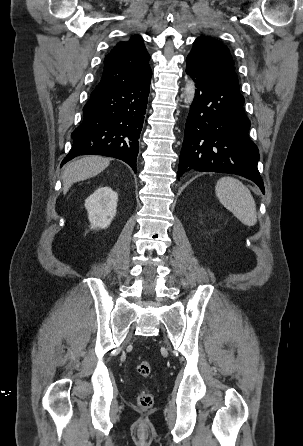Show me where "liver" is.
Instances as JSON below:
<instances>
[{
    "label": "liver",
    "instance_id": "1",
    "mask_svg": "<svg viewBox=\"0 0 303 446\" xmlns=\"http://www.w3.org/2000/svg\"><path fill=\"white\" fill-rule=\"evenodd\" d=\"M109 164L110 160L101 156H86L67 164L62 176L63 193L66 194L74 183L96 176Z\"/></svg>",
    "mask_w": 303,
    "mask_h": 446
}]
</instances>
